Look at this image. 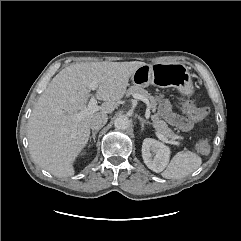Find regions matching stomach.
<instances>
[{
  "instance_id": "stomach-1",
  "label": "stomach",
  "mask_w": 241,
  "mask_h": 241,
  "mask_svg": "<svg viewBox=\"0 0 241 241\" xmlns=\"http://www.w3.org/2000/svg\"><path fill=\"white\" fill-rule=\"evenodd\" d=\"M136 86L154 85L159 88L175 87L184 95L193 93V84L188 68L180 62L145 64L131 76Z\"/></svg>"
}]
</instances>
